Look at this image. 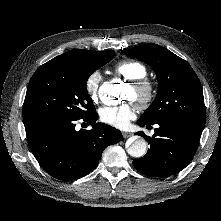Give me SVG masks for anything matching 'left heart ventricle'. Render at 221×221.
Listing matches in <instances>:
<instances>
[{
  "instance_id": "b2bd125f",
  "label": "left heart ventricle",
  "mask_w": 221,
  "mask_h": 221,
  "mask_svg": "<svg viewBox=\"0 0 221 221\" xmlns=\"http://www.w3.org/2000/svg\"><path fill=\"white\" fill-rule=\"evenodd\" d=\"M126 97H127L128 99H135V91H134V89H133L131 86H129V87L127 88Z\"/></svg>"
}]
</instances>
